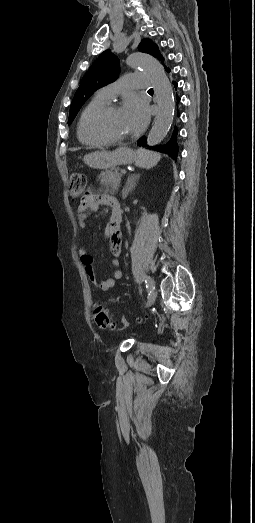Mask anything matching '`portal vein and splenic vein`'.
<instances>
[{
	"label": "portal vein and splenic vein",
	"instance_id": "portal-vein-and-splenic-vein-1",
	"mask_svg": "<svg viewBox=\"0 0 255 523\" xmlns=\"http://www.w3.org/2000/svg\"><path fill=\"white\" fill-rule=\"evenodd\" d=\"M120 174L126 176L128 174V171L126 169H123L122 171H120Z\"/></svg>",
	"mask_w": 255,
	"mask_h": 523
}]
</instances>
